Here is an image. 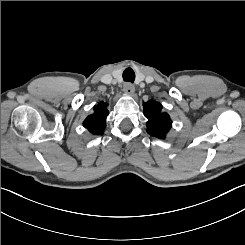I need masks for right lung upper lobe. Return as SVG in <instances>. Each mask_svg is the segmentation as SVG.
Masks as SVG:
<instances>
[{"mask_svg": "<svg viewBox=\"0 0 245 245\" xmlns=\"http://www.w3.org/2000/svg\"><path fill=\"white\" fill-rule=\"evenodd\" d=\"M107 103L100 102L94 106V113L89 115L83 125L93 135H102L106 127V117L108 115Z\"/></svg>", "mask_w": 245, "mask_h": 245, "instance_id": "cb5924a9", "label": "right lung upper lobe"}]
</instances>
